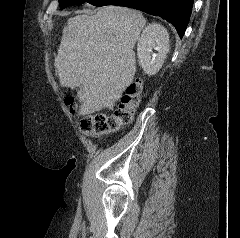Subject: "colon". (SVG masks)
Returning a JSON list of instances; mask_svg holds the SVG:
<instances>
[{"label":"colon","mask_w":240,"mask_h":238,"mask_svg":"<svg viewBox=\"0 0 240 238\" xmlns=\"http://www.w3.org/2000/svg\"><path fill=\"white\" fill-rule=\"evenodd\" d=\"M143 93V82L135 79L126 88L113 113H99L82 117L80 121L82 131L89 136L106 135L118 131L132 121ZM65 102L71 112H77L79 105L74 97H67Z\"/></svg>","instance_id":"1"}]
</instances>
